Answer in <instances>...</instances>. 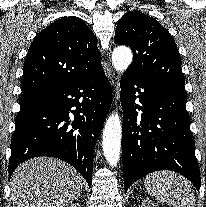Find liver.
I'll return each instance as SVG.
<instances>
[{
	"mask_svg": "<svg viewBox=\"0 0 206 207\" xmlns=\"http://www.w3.org/2000/svg\"><path fill=\"white\" fill-rule=\"evenodd\" d=\"M14 207H65L82 192V177L69 164L38 157L19 165L11 177Z\"/></svg>",
	"mask_w": 206,
	"mask_h": 207,
	"instance_id": "6515ba94",
	"label": "liver"
}]
</instances>
